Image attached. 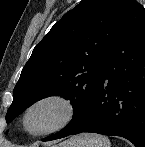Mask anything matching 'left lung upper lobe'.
Wrapping results in <instances>:
<instances>
[{
	"mask_svg": "<svg viewBox=\"0 0 145 147\" xmlns=\"http://www.w3.org/2000/svg\"><path fill=\"white\" fill-rule=\"evenodd\" d=\"M130 1L82 0L65 14L36 45L24 66L13 90L7 123L36 101L59 95L70 100L74 108L71 122L60 132L76 128L95 92Z\"/></svg>",
	"mask_w": 145,
	"mask_h": 147,
	"instance_id": "left-lung-upper-lobe-1",
	"label": "left lung upper lobe"
}]
</instances>
